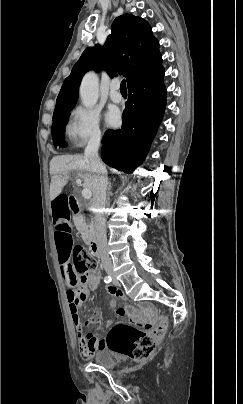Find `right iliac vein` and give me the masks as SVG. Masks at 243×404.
Masks as SVG:
<instances>
[{
	"label": "right iliac vein",
	"instance_id": "63e3f726",
	"mask_svg": "<svg viewBox=\"0 0 243 404\" xmlns=\"http://www.w3.org/2000/svg\"><path fill=\"white\" fill-rule=\"evenodd\" d=\"M110 275H111L112 277H115V275H114V273H113V272H110Z\"/></svg>",
	"mask_w": 243,
	"mask_h": 404
}]
</instances>
